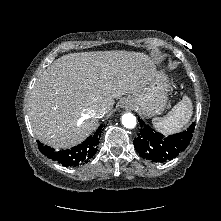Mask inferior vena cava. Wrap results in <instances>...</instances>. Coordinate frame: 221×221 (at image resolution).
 I'll use <instances>...</instances> for the list:
<instances>
[{
    "label": "inferior vena cava",
    "mask_w": 221,
    "mask_h": 221,
    "mask_svg": "<svg viewBox=\"0 0 221 221\" xmlns=\"http://www.w3.org/2000/svg\"><path fill=\"white\" fill-rule=\"evenodd\" d=\"M93 113L96 118H102L106 114V109L104 107H99L95 109Z\"/></svg>",
    "instance_id": "obj_1"
}]
</instances>
